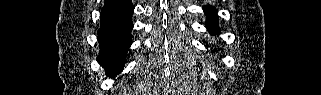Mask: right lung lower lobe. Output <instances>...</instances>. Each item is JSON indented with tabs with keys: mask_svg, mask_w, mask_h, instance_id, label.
I'll use <instances>...</instances> for the list:
<instances>
[{
	"mask_svg": "<svg viewBox=\"0 0 321 95\" xmlns=\"http://www.w3.org/2000/svg\"><path fill=\"white\" fill-rule=\"evenodd\" d=\"M133 11L131 0H105L101 10L97 61L109 74L123 70L127 50L132 44Z\"/></svg>",
	"mask_w": 321,
	"mask_h": 95,
	"instance_id": "obj_1",
	"label": "right lung lower lobe"
}]
</instances>
